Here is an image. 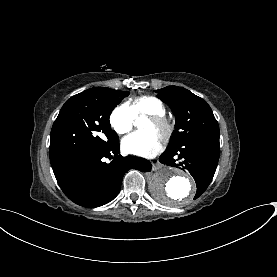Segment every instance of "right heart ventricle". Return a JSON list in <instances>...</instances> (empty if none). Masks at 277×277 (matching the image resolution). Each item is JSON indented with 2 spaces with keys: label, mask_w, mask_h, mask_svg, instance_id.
Returning <instances> with one entry per match:
<instances>
[{
  "label": "right heart ventricle",
  "mask_w": 277,
  "mask_h": 277,
  "mask_svg": "<svg viewBox=\"0 0 277 277\" xmlns=\"http://www.w3.org/2000/svg\"><path fill=\"white\" fill-rule=\"evenodd\" d=\"M127 107L134 119L138 118L143 113H165L164 104L159 99L152 96H141L132 99L127 104Z\"/></svg>",
  "instance_id": "e07e8e85"
}]
</instances>
